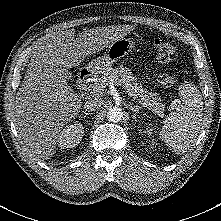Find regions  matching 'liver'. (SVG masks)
I'll list each match as a JSON object with an SVG mask.
<instances>
[{
    "mask_svg": "<svg viewBox=\"0 0 221 221\" xmlns=\"http://www.w3.org/2000/svg\"><path fill=\"white\" fill-rule=\"evenodd\" d=\"M134 28L98 27L76 39L74 29L58 31L36 46L15 101V122L33 155L51 158L58 134L81 109L82 97L68 85L62 69L78 66L86 56L109 47Z\"/></svg>",
    "mask_w": 221,
    "mask_h": 221,
    "instance_id": "6515ba94",
    "label": "liver"
}]
</instances>
